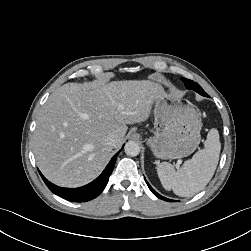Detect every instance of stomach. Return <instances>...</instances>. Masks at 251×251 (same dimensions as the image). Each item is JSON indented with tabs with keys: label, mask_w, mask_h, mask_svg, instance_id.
Listing matches in <instances>:
<instances>
[{
	"label": "stomach",
	"mask_w": 251,
	"mask_h": 251,
	"mask_svg": "<svg viewBox=\"0 0 251 251\" xmlns=\"http://www.w3.org/2000/svg\"><path fill=\"white\" fill-rule=\"evenodd\" d=\"M156 131L147 140L153 155L159 159H178L193 153L201 135V112L191 102L163 90L155 101Z\"/></svg>",
	"instance_id": "obj_1"
}]
</instances>
